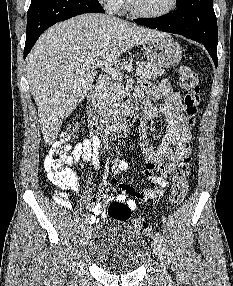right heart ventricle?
Returning <instances> with one entry per match:
<instances>
[{"label": "right heart ventricle", "instance_id": "e07e8e85", "mask_svg": "<svg viewBox=\"0 0 233 286\" xmlns=\"http://www.w3.org/2000/svg\"><path fill=\"white\" fill-rule=\"evenodd\" d=\"M124 6V1L122 2L121 6L120 7H123Z\"/></svg>", "mask_w": 233, "mask_h": 286}]
</instances>
